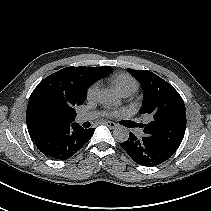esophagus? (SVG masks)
Returning a JSON list of instances; mask_svg holds the SVG:
<instances>
[{"mask_svg":"<svg viewBox=\"0 0 211 211\" xmlns=\"http://www.w3.org/2000/svg\"><path fill=\"white\" fill-rule=\"evenodd\" d=\"M103 124H105L106 126H108L111 129H115L117 127V124L111 121H105L103 122Z\"/></svg>","mask_w":211,"mask_h":211,"instance_id":"obj_1","label":"esophagus"}]
</instances>
